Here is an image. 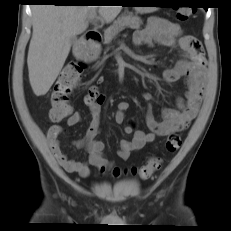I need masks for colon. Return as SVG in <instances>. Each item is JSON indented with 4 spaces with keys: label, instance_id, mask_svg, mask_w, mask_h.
I'll return each instance as SVG.
<instances>
[{
    "label": "colon",
    "instance_id": "1",
    "mask_svg": "<svg viewBox=\"0 0 231 231\" xmlns=\"http://www.w3.org/2000/svg\"><path fill=\"white\" fill-rule=\"evenodd\" d=\"M192 10L190 8L180 9L177 12V19L179 21H185L191 15ZM85 71V63L81 60H73L65 65V67L60 72L51 96H50V111L49 118L53 122H60L73 112L70 98L77 88L82 75ZM181 146V136L178 132L171 133L166 142L165 150L169 153H174ZM161 167V159L158 157H153L147 161L146 164L140 167H132L129 169H121L115 167L111 170L112 176L118 178L122 174L130 173L132 175H137L142 179L150 178L159 168ZM101 173L105 172L106 167H99Z\"/></svg>",
    "mask_w": 231,
    "mask_h": 231
}]
</instances>
